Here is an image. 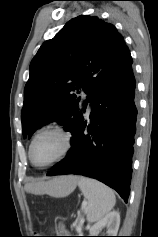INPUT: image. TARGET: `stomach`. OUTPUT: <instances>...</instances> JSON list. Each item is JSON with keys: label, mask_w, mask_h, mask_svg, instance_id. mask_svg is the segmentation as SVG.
Segmentation results:
<instances>
[{"label": "stomach", "mask_w": 158, "mask_h": 237, "mask_svg": "<svg viewBox=\"0 0 158 237\" xmlns=\"http://www.w3.org/2000/svg\"><path fill=\"white\" fill-rule=\"evenodd\" d=\"M68 194H70V192L68 189H66V190H63L60 194L55 195V197H65Z\"/></svg>", "instance_id": "stomach-1"}]
</instances>
